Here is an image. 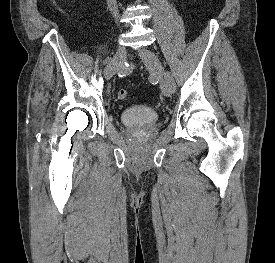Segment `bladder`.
<instances>
[{"label":"bladder","mask_w":275,"mask_h":263,"mask_svg":"<svg viewBox=\"0 0 275 263\" xmlns=\"http://www.w3.org/2000/svg\"><path fill=\"white\" fill-rule=\"evenodd\" d=\"M159 114L153 109L143 106H131L120 113V120L123 124L134 127H148L157 122Z\"/></svg>","instance_id":"31cf9c89"}]
</instances>
